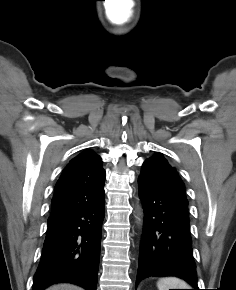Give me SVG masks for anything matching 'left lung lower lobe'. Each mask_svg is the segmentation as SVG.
I'll list each match as a JSON object with an SVG mask.
<instances>
[{
    "mask_svg": "<svg viewBox=\"0 0 236 290\" xmlns=\"http://www.w3.org/2000/svg\"><path fill=\"white\" fill-rule=\"evenodd\" d=\"M138 185L144 227L136 285L149 276H177L198 290L186 196L140 177Z\"/></svg>",
    "mask_w": 236,
    "mask_h": 290,
    "instance_id": "0a47b994",
    "label": "left lung lower lobe"
}]
</instances>
